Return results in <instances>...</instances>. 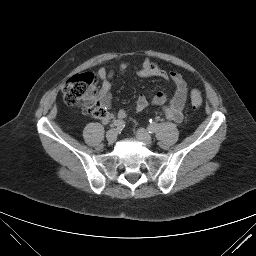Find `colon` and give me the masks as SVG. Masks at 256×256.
Wrapping results in <instances>:
<instances>
[{"label": "colon", "instance_id": "obj_1", "mask_svg": "<svg viewBox=\"0 0 256 256\" xmlns=\"http://www.w3.org/2000/svg\"><path fill=\"white\" fill-rule=\"evenodd\" d=\"M97 77L91 72L75 74L68 78L62 86L64 101L69 105L82 104L83 112L92 117H104L106 109L96 100ZM203 103L198 90L191 92L193 108H199Z\"/></svg>", "mask_w": 256, "mask_h": 256}]
</instances>
